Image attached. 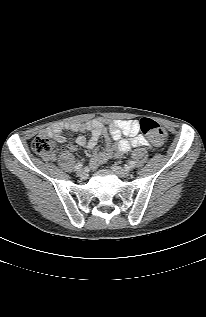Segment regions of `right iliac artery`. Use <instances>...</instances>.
<instances>
[{"label": "right iliac artery", "mask_w": 206, "mask_h": 317, "mask_svg": "<svg viewBox=\"0 0 206 317\" xmlns=\"http://www.w3.org/2000/svg\"><path fill=\"white\" fill-rule=\"evenodd\" d=\"M82 167H83V164H82L81 162L77 163V164L74 166L75 170H79V169H81Z\"/></svg>", "instance_id": "1"}]
</instances>
